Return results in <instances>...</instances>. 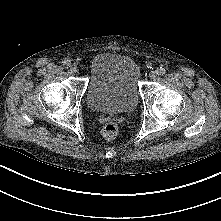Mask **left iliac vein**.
<instances>
[{"instance_id": "4c4485c4", "label": "left iliac vein", "mask_w": 221, "mask_h": 221, "mask_svg": "<svg viewBox=\"0 0 221 221\" xmlns=\"http://www.w3.org/2000/svg\"><path fill=\"white\" fill-rule=\"evenodd\" d=\"M156 77H157V72H156V71H151V72L149 73V78H150L151 80H155Z\"/></svg>"}]
</instances>
